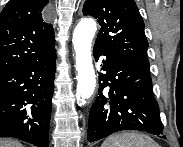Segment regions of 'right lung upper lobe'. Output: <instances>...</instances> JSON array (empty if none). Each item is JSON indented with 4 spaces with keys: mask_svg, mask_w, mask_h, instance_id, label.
<instances>
[{
    "mask_svg": "<svg viewBox=\"0 0 183 147\" xmlns=\"http://www.w3.org/2000/svg\"><path fill=\"white\" fill-rule=\"evenodd\" d=\"M48 0H10L0 14V74L55 51L54 31L43 21Z\"/></svg>",
    "mask_w": 183,
    "mask_h": 147,
    "instance_id": "cb5924a9",
    "label": "right lung upper lobe"
}]
</instances>
